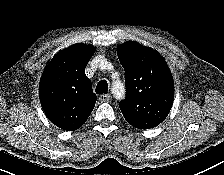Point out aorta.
<instances>
[{
	"label": "aorta",
	"mask_w": 224,
	"mask_h": 175,
	"mask_svg": "<svg viewBox=\"0 0 224 175\" xmlns=\"http://www.w3.org/2000/svg\"><path fill=\"white\" fill-rule=\"evenodd\" d=\"M113 94L117 99H121L125 95V87L121 82H115L112 88Z\"/></svg>",
	"instance_id": "762f6f07"
}]
</instances>
